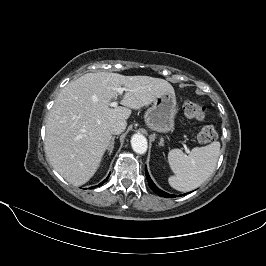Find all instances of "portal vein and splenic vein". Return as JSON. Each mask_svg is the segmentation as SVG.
<instances>
[{"instance_id":"portal-vein-and-splenic-vein-1","label":"portal vein and splenic vein","mask_w":266,"mask_h":266,"mask_svg":"<svg viewBox=\"0 0 266 266\" xmlns=\"http://www.w3.org/2000/svg\"><path fill=\"white\" fill-rule=\"evenodd\" d=\"M115 90H116L120 95H122L123 92L126 91L127 89H126V88H123V87H117V88H115ZM109 105H110L111 107H117L118 103H117L116 101H114V102H111ZM186 152L189 153V150L186 149Z\"/></svg>"}]
</instances>
